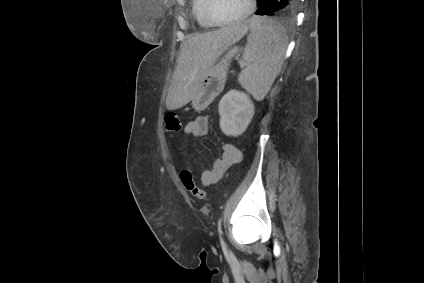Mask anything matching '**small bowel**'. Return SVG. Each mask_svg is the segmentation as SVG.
Masks as SVG:
<instances>
[{"instance_id":"small-bowel-1","label":"small bowel","mask_w":424,"mask_h":283,"mask_svg":"<svg viewBox=\"0 0 424 283\" xmlns=\"http://www.w3.org/2000/svg\"><path fill=\"white\" fill-rule=\"evenodd\" d=\"M187 135L201 137L209 132V117L202 115L188 122L184 128ZM241 160V151L231 143H224L221 157L216 159L211 168L205 169L200 174V182L203 186H211L217 183L234 164ZM183 170H188L195 176L192 166L186 164Z\"/></svg>"}]
</instances>
